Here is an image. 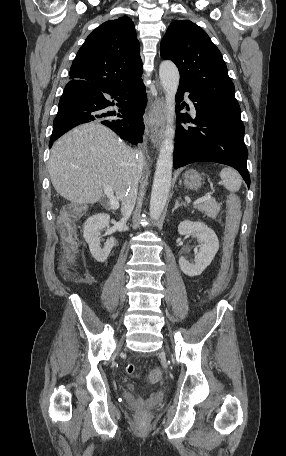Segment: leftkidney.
<instances>
[{"mask_svg": "<svg viewBox=\"0 0 286 456\" xmlns=\"http://www.w3.org/2000/svg\"><path fill=\"white\" fill-rule=\"evenodd\" d=\"M178 233L180 235H191L202 242L194 262H189L184 257L179 258V266L184 274L190 277L198 276L210 265L219 249L217 235L206 224L189 220L179 224Z\"/></svg>", "mask_w": 286, "mask_h": 456, "instance_id": "1", "label": "left kidney"}]
</instances>
